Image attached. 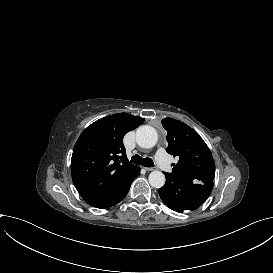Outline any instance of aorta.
Masks as SVG:
<instances>
[{
	"label": "aorta",
	"mask_w": 273,
	"mask_h": 273,
	"mask_svg": "<svg viewBox=\"0 0 273 273\" xmlns=\"http://www.w3.org/2000/svg\"><path fill=\"white\" fill-rule=\"evenodd\" d=\"M158 141L156 130L148 125L139 127L136 131V142L142 148H152ZM149 183L154 188H161L165 184V175L161 171H152L149 174Z\"/></svg>",
	"instance_id": "obj_1"
}]
</instances>
